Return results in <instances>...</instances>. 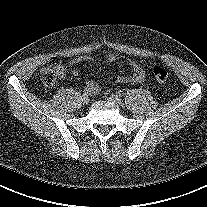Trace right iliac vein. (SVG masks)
Segmentation results:
<instances>
[{
    "label": "right iliac vein",
    "instance_id": "right-iliac-vein-1",
    "mask_svg": "<svg viewBox=\"0 0 207 207\" xmlns=\"http://www.w3.org/2000/svg\"><path fill=\"white\" fill-rule=\"evenodd\" d=\"M81 101H82L83 104H87L89 102L88 95L83 94L82 97H81Z\"/></svg>",
    "mask_w": 207,
    "mask_h": 207
}]
</instances>
